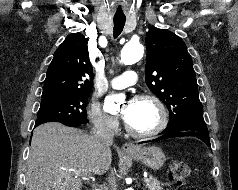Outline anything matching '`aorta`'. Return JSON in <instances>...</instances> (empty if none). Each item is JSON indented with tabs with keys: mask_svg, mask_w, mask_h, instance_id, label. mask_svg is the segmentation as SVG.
I'll use <instances>...</instances> for the list:
<instances>
[{
	"mask_svg": "<svg viewBox=\"0 0 238 190\" xmlns=\"http://www.w3.org/2000/svg\"><path fill=\"white\" fill-rule=\"evenodd\" d=\"M144 49L138 41L130 40L125 44L121 51L120 62L125 65H130L143 57ZM125 96L122 94L112 95L105 98L103 109L107 113H114L118 110L117 101L124 100ZM131 190V189H127Z\"/></svg>",
	"mask_w": 238,
	"mask_h": 190,
	"instance_id": "1",
	"label": "aorta"
}]
</instances>
